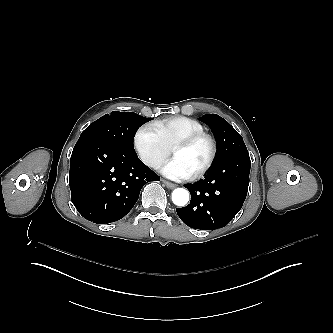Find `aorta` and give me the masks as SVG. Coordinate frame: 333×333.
<instances>
[{"label":"aorta","instance_id":"aorta-1","mask_svg":"<svg viewBox=\"0 0 333 333\" xmlns=\"http://www.w3.org/2000/svg\"><path fill=\"white\" fill-rule=\"evenodd\" d=\"M172 202L176 206H185L189 202V192L184 188H176L172 192Z\"/></svg>","mask_w":333,"mask_h":333}]
</instances>
